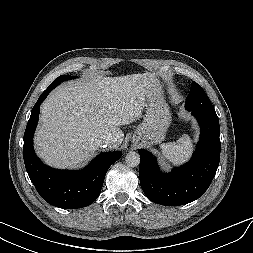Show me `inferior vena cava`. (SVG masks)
<instances>
[{
  "label": "inferior vena cava",
  "instance_id": "obj_1",
  "mask_svg": "<svg viewBox=\"0 0 253 253\" xmlns=\"http://www.w3.org/2000/svg\"><path fill=\"white\" fill-rule=\"evenodd\" d=\"M102 142H103V144L108 145V144H111L114 142V138L111 135H103Z\"/></svg>",
  "mask_w": 253,
  "mask_h": 253
}]
</instances>
